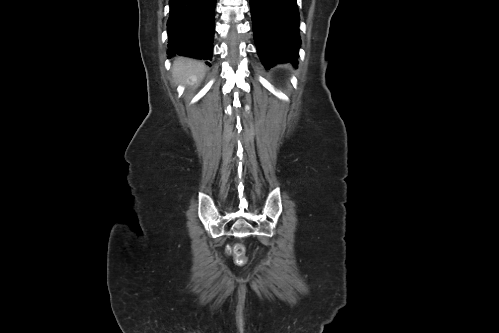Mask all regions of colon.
Returning a JSON list of instances; mask_svg holds the SVG:
<instances>
[{"label":"colon","instance_id":"obj_1","mask_svg":"<svg viewBox=\"0 0 499 333\" xmlns=\"http://www.w3.org/2000/svg\"><path fill=\"white\" fill-rule=\"evenodd\" d=\"M229 252L234 256L235 261L238 265H244L246 263L245 249L243 245L236 244L229 248Z\"/></svg>","mask_w":499,"mask_h":333}]
</instances>
